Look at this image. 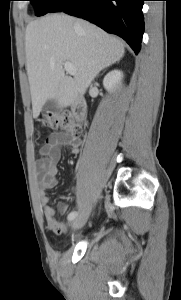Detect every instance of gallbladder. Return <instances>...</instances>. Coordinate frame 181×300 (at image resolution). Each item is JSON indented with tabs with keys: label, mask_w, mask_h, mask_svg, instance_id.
<instances>
[{
	"label": "gallbladder",
	"mask_w": 181,
	"mask_h": 300,
	"mask_svg": "<svg viewBox=\"0 0 181 300\" xmlns=\"http://www.w3.org/2000/svg\"><path fill=\"white\" fill-rule=\"evenodd\" d=\"M60 106L54 99H49L46 101V103L43 106L44 111H58L60 110Z\"/></svg>",
	"instance_id": "gallbladder-1"
}]
</instances>
